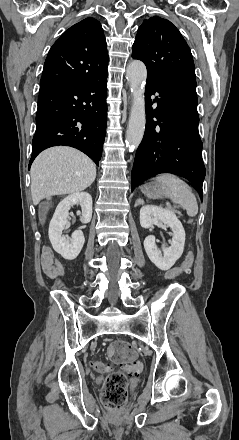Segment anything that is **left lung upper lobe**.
<instances>
[{"instance_id": "left-lung-upper-lobe-1", "label": "left lung upper lobe", "mask_w": 239, "mask_h": 440, "mask_svg": "<svg viewBox=\"0 0 239 440\" xmlns=\"http://www.w3.org/2000/svg\"><path fill=\"white\" fill-rule=\"evenodd\" d=\"M132 57L143 61L147 77H184L196 80L193 57L179 30L154 16L144 20L133 44Z\"/></svg>"}]
</instances>
